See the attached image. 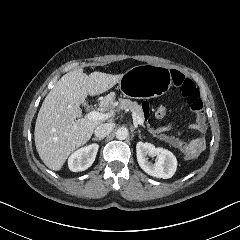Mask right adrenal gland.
Wrapping results in <instances>:
<instances>
[{"instance_id":"1","label":"right adrenal gland","mask_w":240,"mask_h":240,"mask_svg":"<svg viewBox=\"0 0 240 240\" xmlns=\"http://www.w3.org/2000/svg\"><path fill=\"white\" fill-rule=\"evenodd\" d=\"M93 141H100V138H92Z\"/></svg>"}]
</instances>
